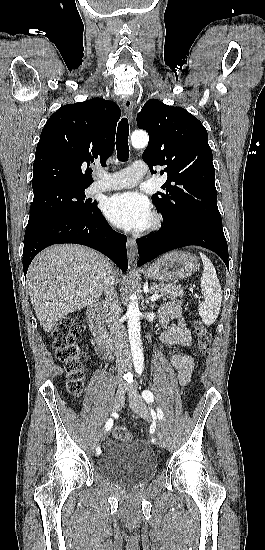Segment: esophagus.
<instances>
[{"label": "esophagus", "instance_id": "34e87169", "mask_svg": "<svg viewBox=\"0 0 265 550\" xmlns=\"http://www.w3.org/2000/svg\"><path fill=\"white\" fill-rule=\"evenodd\" d=\"M123 108L126 117L128 118L129 122H132L133 120V100L131 97H127L123 101ZM127 246L129 249V255L131 257V260L134 261L135 258V240L133 238H129L127 240Z\"/></svg>", "mask_w": 265, "mask_h": 550}]
</instances>
